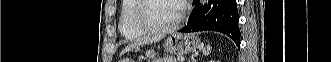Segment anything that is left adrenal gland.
<instances>
[{
  "label": "left adrenal gland",
  "instance_id": "1",
  "mask_svg": "<svg viewBox=\"0 0 331 62\" xmlns=\"http://www.w3.org/2000/svg\"><path fill=\"white\" fill-rule=\"evenodd\" d=\"M194 56H195V55H192V57H191V60H192V61H191V62H194Z\"/></svg>",
  "mask_w": 331,
  "mask_h": 62
}]
</instances>
